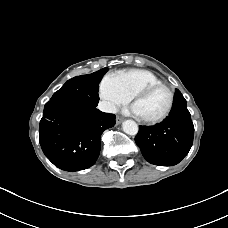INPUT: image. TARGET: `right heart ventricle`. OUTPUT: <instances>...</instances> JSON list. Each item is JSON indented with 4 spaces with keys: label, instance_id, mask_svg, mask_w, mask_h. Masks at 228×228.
<instances>
[{
    "label": "right heart ventricle",
    "instance_id": "1",
    "mask_svg": "<svg viewBox=\"0 0 228 228\" xmlns=\"http://www.w3.org/2000/svg\"><path fill=\"white\" fill-rule=\"evenodd\" d=\"M116 75L130 97H133L137 91L147 85L162 83L153 72L146 69L132 68L120 71Z\"/></svg>",
    "mask_w": 228,
    "mask_h": 228
}]
</instances>
